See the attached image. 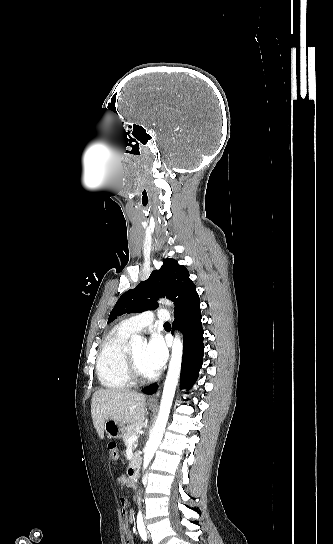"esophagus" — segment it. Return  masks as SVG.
<instances>
[{"label":"esophagus","instance_id":"34e87169","mask_svg":"<svg viewBox=\"0 0 333 544\" xmlns=\"http://www.w3.org/2000/svg\"><path fill=\"white\" fill-rule=\"evenodd\" d=\"M160 389H161V385H158L156 392L149 398L148 400L149 403H152V404L156 403V398L158 393L160 392Z\"/></svg>","mask_w":333,"mask_h":544}]
</instances>
